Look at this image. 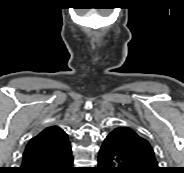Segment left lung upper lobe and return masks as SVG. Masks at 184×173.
<instances>
[{
	"label": "left lung upper lobe",
	"instance_id": "5c2ea615",
	"mask_svg": "<svg viewBox=\"0 0 184 173\" xmlns=\"http://www.w3.org/2000/svg\"><path fill=\"white\" fill-rule=\"evenodd\" d=\"M112 132L117 133L118 144L130 156L136 167L146 173L161 172L154 151L146 139L130 127H119Z\"/></svg>",
	"mask_w": 184,
	"mask_h": 173
}]
</instances>
